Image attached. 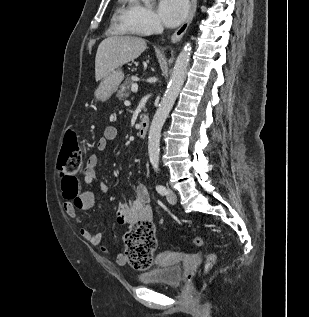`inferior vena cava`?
I'll return each mask as SVG.
<instances>
[{
    "instance_id": "1",
    "label": "inferior vena cava",
    "mask_w": 309,
    "mask_h": 317,
    "mask_svg": "<svg viewBox=\"0 0 309 317\" xmlns=\"http://www.w3.org/2000/svg\"><path fill=\"white\" fill-rule=\"evenodd\" d=\"M157 31L158 32H162L163 31V28L160 24L157 25Z\"/></svg>"
}]
</instances>
